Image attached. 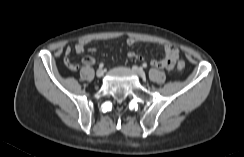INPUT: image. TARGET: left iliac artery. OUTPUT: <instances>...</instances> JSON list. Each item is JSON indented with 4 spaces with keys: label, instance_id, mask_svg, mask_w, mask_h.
I'll use <instances>...</instances> for the list:
<instances>
[{
    "label": "left iliac artery",
    "instance_id": "obj_1",
    "mask_svg": "<svg viewBox=\"0 0 244 157\" xmlns=\"http://www.w3.org/2000/svg\"><path fill=\"white\" fill-rule=\"evenodd\" d=\"M143 67H147V65L144 63L143 65H142Z\"/></svg>",
    "mask_w": 244,
    "mask_h": 157
}]
</instances>
